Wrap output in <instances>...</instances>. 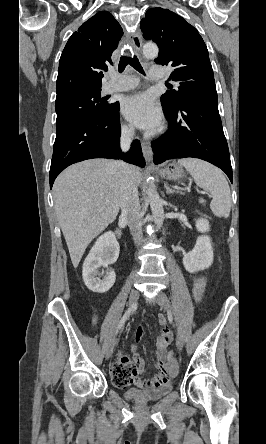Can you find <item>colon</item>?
Here are the masks:
<instances>
[{
	"mask_svg": "<svg viewBox=\"0 0 266 444\" xmlns=\"http://www.w3.org/2000/svg\"><path fill=\"white\" fill-rule=\"evenodd\" d=\"M167 363L170 367V370L172 372L176 371V367H177V361H176V356L173 352H169L167 355Z\"/></svg>",
	"mask_w": 266,
	"mask_h": 444,
	"instance_id": "5ec220e1",
	"label": "colon"
}]
</instances>
